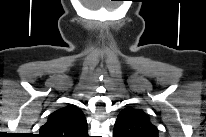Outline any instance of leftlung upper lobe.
<instances>
[{
  "instance_id": "obj_1",
  "label": "left lung upper lobe",
  "mask_w": 206,
  "mask_h": 137,
  "mask_svg": "<svg viewBox=\"0 0 206 137\" xmlns=\"http://www.w3.org/2000/svg\"><path fill=\"white\" fill-rule=\"evenodd\" d=\"M114 132L122 137H158L157 127L142 110L127 107L116 120Z\"/></svg>"
}]
</instances>
